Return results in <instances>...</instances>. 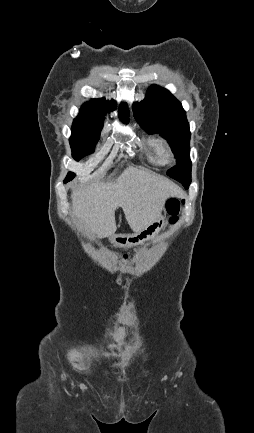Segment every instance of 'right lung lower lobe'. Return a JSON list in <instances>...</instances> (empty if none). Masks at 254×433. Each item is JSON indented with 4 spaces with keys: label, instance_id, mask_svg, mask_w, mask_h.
<instances>
[{
    "label": "right lung lower lobe",
    "instance_id": "98d812e1",
    "mask_svg": "<svg viewBox=\"0 0 254 433\" xmlns=\"http://www.w3.org/2000/svg\"><path fill=\"white\" fill-rule=\"evenodd\" d=\"M74 173H69L68 175H67V177H66V179H65V181L64 182H68V181H70V180H72L73 178H74Z\"/></svg>",
    "mask_w": 254,
    "mask_h": 433
}]
</instances>
